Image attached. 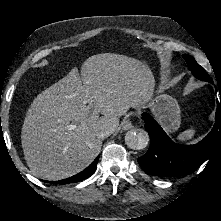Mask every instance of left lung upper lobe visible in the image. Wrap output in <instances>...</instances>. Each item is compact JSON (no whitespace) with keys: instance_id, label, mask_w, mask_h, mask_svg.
<instances>
[{"instance_id":"5c2ea615","label":"left lung upper lobe","mask_w":221,"mask_h":221,"mask_svg":"<svg viewBox=\"0 0 221 221\" xmlns=\"http://www.w3.org/2000/svg\"><path fill=\"white\" fill-rule=\"evenodd\" d=\"M183 58L186 60L189 69L192 71L193 75L204 81H212V79L209 77V75L206 73V71L195 61V59L187 54L183 55Z\"/></svg>"}]
</instances>
